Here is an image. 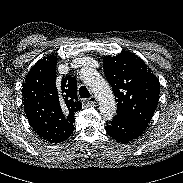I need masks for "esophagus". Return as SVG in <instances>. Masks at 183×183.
I'll return each instance as SVG.
<instances>
[{"instance_id":"esophagus-1","label":"esophagus","mask_w":183,"mask_h":183,"mask_svg":"<svg viewBox=\"0 0 183 183\" xmlns=\"http://www.w3.org/2000/svg\"><path fill=\"white\" fill-rule=\"evenodd\" d=\"M97 102L98 100L95 96H91L90 98L83 100V104L86 106H94L97 104Z\"/></svg>"}]
</instances>
